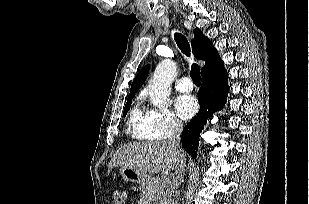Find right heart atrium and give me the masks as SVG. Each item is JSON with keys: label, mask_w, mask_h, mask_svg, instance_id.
Wrapping results in <instances>:
<instances>
[{"label": "right heart atrium", "mask_w": 309, "mask_h": 204, "mask_svg": "<svg viewBox=\"0 0 309 204\" xmlns=\"http://www.w3.org/2000/svg\"><path fill=\"white\" fill-rule=\"evenodd\" d=\"M148 115L147 134L150 139H167L183 128L181 119L169 108H153L148 111Z\"/></svg>", "instance_id": "d8ad5b80"}]
</instances>
